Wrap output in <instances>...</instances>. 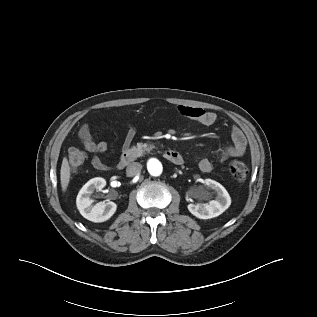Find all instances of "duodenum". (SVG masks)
<instances>
[{"label":"duodenum","instance_id":"obj_1","mask_svg":"<svg viewBox=\"0 0 317 317\" xmlns=\"http://www.w3.org/2000/svg\"><path fill=\"white\" fill-rule=\"evenodd\" d=\"M140 155V151L137 149H127L123 152L118 164V169H123L128 164L136 161ZM164 157L171 163L175 165H180L183 163V157L182 155L175 150H168L164 152Z\"/></svg>","mask_w":317,"mask_h":317}]
</instances>
